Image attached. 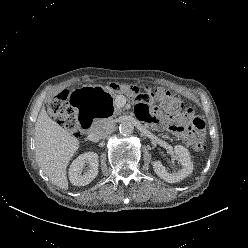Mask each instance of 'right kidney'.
Returning <instances> with one entry per match:
<instances>
[{
  "label": "right kidney",
  "mask_w": 248,
  "mask_h": 248,
  "mask_svg": "<svg viewBox=\"0 0 248 248\" xmlns=\"http://www.w3.org/2000/svg\"><path fill=\"white\" fill-rule=\"evenodd\" d=\"M98 166L97 153L87 152L81 154L70 165L68 172L70 182L75 186L89 184L97 176Z\"/></svg>",
  "instance_id": "right-kidney-1"
}]
</instances>
